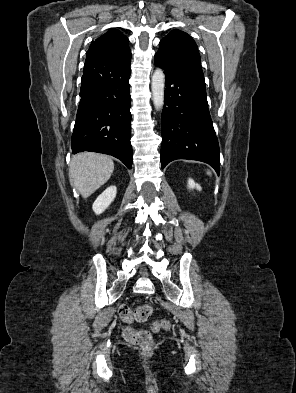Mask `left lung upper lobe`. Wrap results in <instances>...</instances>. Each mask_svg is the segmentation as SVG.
<instances>
[{"label":"left lung upper lobe","mask_w":296,"mask_h":393,"mask_svg":"<svg viewBox=\"0 0 296 393\" xmlns=\"http://www.w3.org/2000/svg\"><path fill=\"white\" fill-rule=\"evenodd\" d=\"M156 55L170 63L201 68L196 43L187 33L180 30H172L160 41Z\"/></svg>","instance_id":"1"}]
</instances>
